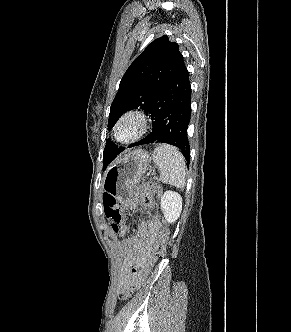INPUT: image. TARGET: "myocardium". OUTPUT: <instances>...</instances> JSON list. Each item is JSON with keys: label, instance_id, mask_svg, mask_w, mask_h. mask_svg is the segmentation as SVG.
<instances>
[{"label": "myocardium", "instance_id": "1", "mask_svg": "<svg viewBox=\"0 0 291 332\" xmlns=\"http://www.w3.org/2000/svg\"><path fill=\"white\" fill-rule=\"evenodd\" d=\"M126 120H135L138 124V129L136 134L131 138L126 140H121L118 138V129L121 126V124ZM148 129H149V118L147 114L141 109H132L126 111L119 117L114 126L113 135L115 140L118 141L119 143L130 144L141 139L147 133Z\"/></svg>", "mask_w": 291, "mask_h": 332}]
</instances>
